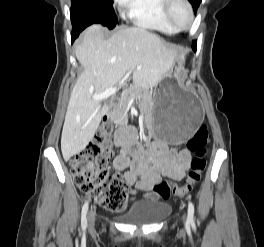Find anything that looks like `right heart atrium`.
Returning <instances> with one entry per match:
<instances>
[{"mask_svg":"<svg viewBox=\"0 0 264 247\" xmlns=\"http://www.w3.org/2000/svg\"><path fill=\"white\" fill-rule=\"evenodd\" d=\"M114 1L117 3L119 10L121 12H124L129 8L132 0H114Z\"/></svg>","mask_w":264,"mask_h":247,"instance_id":"obj_1","label":"right heart atrium"}]
</instances>
